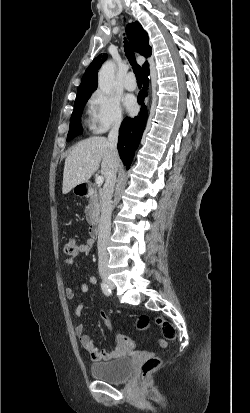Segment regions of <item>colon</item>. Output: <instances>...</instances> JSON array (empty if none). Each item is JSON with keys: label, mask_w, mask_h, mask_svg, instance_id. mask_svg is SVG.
<instances>
[{"label": "colon", "mask_w": 250, "mask_h": 413, "mask_svg": "<svg viewBox=\"0 0 250 413\" xmlns=\"http://www.w3.org/2000/svg\"><path fill=\"white\" fill-rule=\"evenodd\" d=\"M78 241L75 238H69L64 244V252L67 255H75L78 252ZM103 324L107 329H113L114 323L112 321L111 315L102 314ZM137 328L139 330H146L149 327V319L146 316H140L137 320ZM156 324L160 326L164 340H160V346L166 347V341H175L177 339V330L175 326L164 318L158 317L156 319ZM116 340L119 341L126 349H134L135 346L139 347L140 345H135V340L132 336L128 334H117ZM136 351L135 349L133 350ZM161 365V359L159 357H150L145 360L141 366L140 376L141 378H147L153 372L159 369Z\"/></svg>", "instance_id": "1"}]
</instances>
